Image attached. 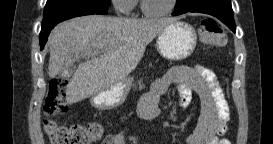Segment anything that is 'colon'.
<instances>
[{"instance_id": "5ec220e1", "label": "colon", "mask_w": 273, "mask_h": 144, "mask_svg": "<svg viewBox=\"0 0 273 144\" xmlns=\"http://www.w3.org/2000/svg\"><path fill=\"white\" fill-rule=\"evenodd\" d=\"M200 33L208 45L222 44L225 40L219 24L210 18L202 20ZM67 87V80L54 79L50 82L44 103V112L50 118L46 122V132L53 144H91L102 136L103 128L100 124L67 126L53 119L65 114L68 109L64 101Z\"/></svg>"}]
</instances>
